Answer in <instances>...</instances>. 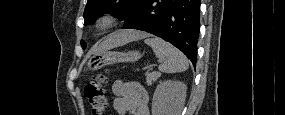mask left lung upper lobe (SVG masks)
Masks as SVG:
<instances>
[{
    "label": "left lung upper lobe",
    "mask_w": 285,
    "mask_h": 115,
    "mask_svg": "<svg viewBox=\"0 0 285 115\" xmlns=\"http://www.w3.org/2000/svg\"><path fill=\"white\" fill-rule=\"evenodd\" d=\"M140 0H88L84 10V25L94 24L101 13H110L124 19ZM84 49L86 43L81 41Z\"/></svg>",
    "instance_id": "left-lung-upper-lobe-1"
}]
</instances>
